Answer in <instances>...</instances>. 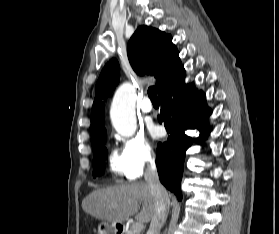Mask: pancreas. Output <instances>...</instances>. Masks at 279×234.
Listing matches in <instances>:
<instances>
[{
    "label": "pancreas",
    "instance_id": "obj_1",
    "mask_svg": "<svg viewBox=\"0 0 279 234\" xmlns=\"http://www.w3.org/2000/svg\"><path fill=\"white\" fill-rule=\"evenodd\" d=\"M126 234H139V233H137V232H134L133 230H132V227L126 232Z\"/></svg>",
    "mask_w": 279,
    "mask_h": 234
}]
</instances>
